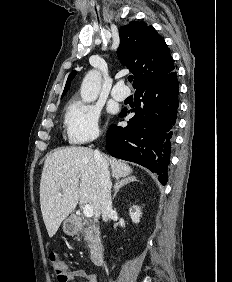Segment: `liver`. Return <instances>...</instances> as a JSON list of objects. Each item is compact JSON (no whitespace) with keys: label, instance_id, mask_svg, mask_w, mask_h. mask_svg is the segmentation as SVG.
<instances>
[{"label":"liver","instance_id":"liver-1","mask_svg":"<svg viewBox=\"0 0 232 282\" xmlns=\"http://www.w3.org/2000/svg\"><path fill=\"white\" fill-rule=\"evenodd\" d=\"M112 176L126 177L132 168L114 158H104ZM101 187L94 152L85 147H66L47 156L40 181V205L49 237L74 211L78 202L92 206L96 217L101 213Z\"/></svg>","mask_w":232,"mask_h":282}]
</instances>
